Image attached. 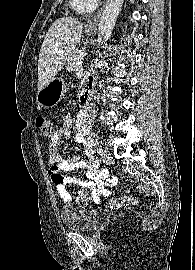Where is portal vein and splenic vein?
I'll return each instance as SVG.
<instances>
[{
	"label": "portal vein and splenic vein",
	"instance_id": "obj_1",
	"mask_svg": "<svg viewBox=\"0 0 195 270\" xmlns=\"http://www.w3.org/2000/svg\"><path fill=\"white\" fill-rule=\"evenodd\" d=\"M85 56H86V53L85 52L79 53L77 55V60L78 61H81V60H83L85 58Z\"/></svg>",
	"mask_w": 195,
	"mask_h": 270
}]
</instances>
